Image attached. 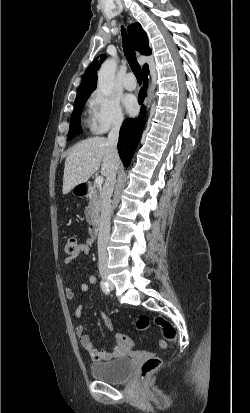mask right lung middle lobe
Listing matches in <instances>:
<instances>
[{
    "label": "right lung middle lobe",
    "mask_w": 250,
    "mask_h": 413,
    "mask_svg": "<svg viewBox=\"0 0 250 413\" xmlns=\"http://www.w3.org/2000/svg\"><path fill=\"white\" fill-rule=\"evenodd\" d=\"M88 97H89V94H85V95L77 96L75 99L74 110L71 116V122H70V128H69L67 140H71L77 134H80L82 132L81 127H80V116H81L82 107L86 103Z\"/></svg>",
    "instance_id": "obj_1"
}]
</instances>
